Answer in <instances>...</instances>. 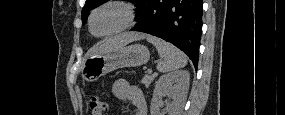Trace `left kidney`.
<instances>
[{
  "label": "left kidney",
  "instance_id": "obj_1",
  "mask_svg": "<svg viewBox=\"0 0 285 115\" xmlns=\"http://www.w3.org/2000/svg\"><path fill=\"white\" fill-rule=\"evenodd\" d=\"M190 74L178 70L162 75L156 82L150 105L151 115H160L161 98L167 95L172 101L166 103L170 115H179L187 98Z\"/></svg>",
  "mask_w": 285,
  "mask_h": 115
}]
</instances>
